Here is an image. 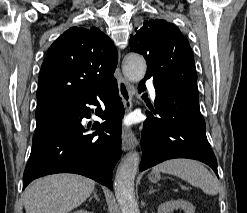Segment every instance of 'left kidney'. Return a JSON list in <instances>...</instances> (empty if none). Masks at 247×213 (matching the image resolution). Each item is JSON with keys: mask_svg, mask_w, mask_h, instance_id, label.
Listing matches in <instances>:
<instances>
[{"mask_svg": "<svg viewBox=\"0 0 247 213\" xmlns=\"http://www.w3.org/2000/svg\"><path fill=\"white\" fill-rule=\"evenodd\" d=\"M182 209L184 213H195L194 206L184 200H171L158 207V213H171L174 209Z\"/></svg>", "mask_w": 247, "mask_h": 213, "instance_id": "5707ae66", "label": "left kidney"}]
</instances>
